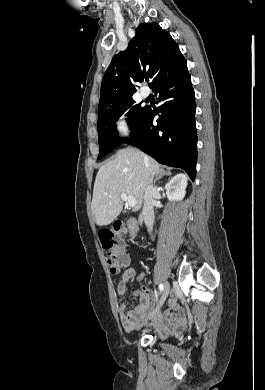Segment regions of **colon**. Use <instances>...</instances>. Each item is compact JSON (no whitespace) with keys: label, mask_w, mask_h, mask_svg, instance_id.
<instances>
[{"label":"colon","mask_w":265,"mask_h":390,"mask_svg":"<svg viewBox=\"0 0 265 390\" xmlns=\"http://www.w3.org/2000/svg\"><path fill=\"white\" fill-rule=\"evenodd\" d=\"M126 228L116 224L114 229L101 234L100 240L106 250V261L112 274H116L125 263L126 255L123 253L124 236Z\"/></svg>","instance_id":"1"}]
</instances>
